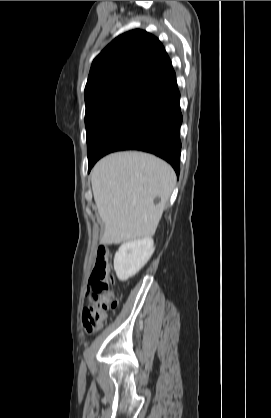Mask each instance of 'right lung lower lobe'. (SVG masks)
<instances>
[{"instance_id": "right-lung-lower-lobe-1", "label": "right lung lower lobe", "mask_w": 271, "mask_h": 418, "mask_svg": "<svg viewBox=\"0 0 271 418\" xmlns=\"http://www.w3.org/2000/svg\"><path fill=\"white\" fill-rule=\"evenodd\" d=\"M180 93L178 87L155 102L119 129L104 145L88 172L104 155L121 150H140L155 154L180 172L181 151Z\"/></svg>"}]
</instances>
